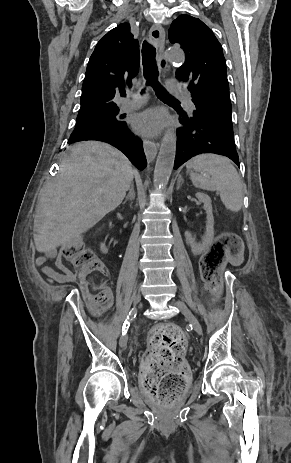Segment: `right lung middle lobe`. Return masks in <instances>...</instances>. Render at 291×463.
<instances>
[{
    "label": "right lung middle lobe",
    "instance_id": "1",
    "mask_svg": "<svg viewBox=\"0 0 291 463\" xmlns=\"http://www.w3.org/2000/svg\"><path fill=\"white\" fill-rule=\"evenodd\" d=\"M117 110L100 113L91 117L77 118L76 127L71 135H76L91 131L98 128L115 127L121 125L123 122L117 113Z\"/></svg>",
    "mask_w": 291,
    "mask_h": 463
}]
</instances>
